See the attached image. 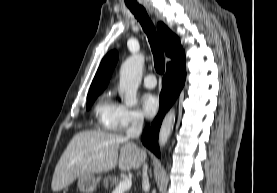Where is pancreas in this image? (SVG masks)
Returning a JSON list of instances; mask_svg holds the SVG:
<instances>
[{"instance_id":"cf45deb5","label":"pancreas","mask_w":277,"mask_h":193,"mask_svg":"<svg viewBox=\"0 0 277 193\" xmlns=\"http://www.w3.org/2000/svg\"><path fill=\"white\" fill-rule=\"evenodd\" d=\"M108 181L111 184V187H117V185L120 183L121 179L118 176L115 175H108L105 179L106 184H108Z\"/></svg>"}]
</instances>
